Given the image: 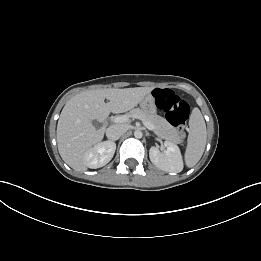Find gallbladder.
Here are the masks:
<instances>
[{
  "instance_id": "gallbladder-1",
  "label": "gallbladder",
  "mask_w": 261,
  "mask_h": 261,
  "mask_svg": "<svg viewBox=\"0 0 261 261\" xmlns=\"http://www.w3.org/2000/svg\"><path fill=\"white\" fill-rule=\"evenodd\" d=\"M92 123H93V125H94L96 128H100V127H101V123L98 122L97 120H94Z\"/></svg>"
}]
</instances>
